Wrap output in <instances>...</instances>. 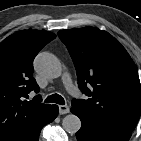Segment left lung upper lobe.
<instances>
[{"label": "left lung upper lobe", "instance_id": "left-lung-upper-lobe-1", "mask_svg": "<svg viewBox=\"0 0 141 141\" xmlns=\"http://www.w3.org/2000/svg\"><path fill=\"white\" fill-rule=\"evenodd\" d=\"M58 36L69 50L79 88L87 96L74 99L72 107L105 125L132 132L141 114V85L125 48L109 33L93 27L61 30Z\"/></svg>", "mask_w": 141, "mask_h": 141}]
</instances>
